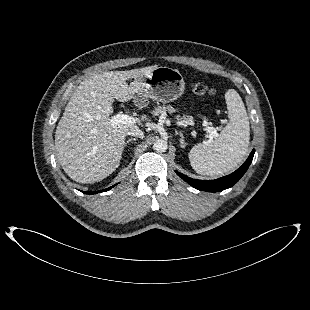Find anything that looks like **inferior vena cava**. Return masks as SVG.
Here are the masks:
<instances>
[{"label": "inferior vena cava", "instance_id": "1", "mask_svg": "<svg viewBox=\"0 0 310 310\" xmlns=\"http://www.w3.org/2000/svg\"><path fill=\"white\" fill-rule=\"evenodd\" d=\"M127 135L144 138V133L139 128L131 129L127 132Z\"/></svg>", "mask_w": 310, "mask_h": 310}]
</instances>
